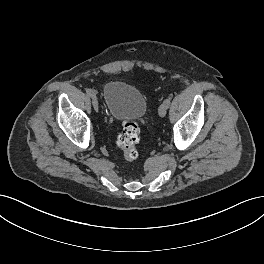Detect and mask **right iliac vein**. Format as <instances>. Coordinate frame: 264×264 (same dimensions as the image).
<instances>
[{
    "instance_id": "1",
    "label": "right iliac vein",
    "mask_w": 264,
    "mask_h": 264,
    "mask_svg": "<svg viewBox=\"0 0 264 264\" xmlns=\"http://www.w3.org/2000/svg\"><path fill=\"white\" fill-rule=\"evenodd\" d=\"M92 104H93L94 109L98 111L99 104H98V100L95 94L92 96Z\"/></svg>"
}]
</instances>
